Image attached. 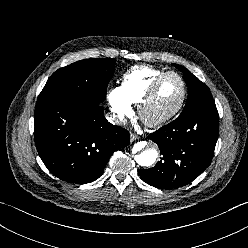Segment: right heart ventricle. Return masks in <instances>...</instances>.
<instances>
[{
	"label": "right heart ventricle",
	"instance_id": "right-heart-ventricle-1",
	"mask_svg": "<svg viewBox=\"0 0 248 248\" xmlns=\"http://www.w3.org/2000/svg\"><path fill=\"white\" fill-rule=\"evenodd\" d=\"M165 72L151 66H135L124 74L121 89L131 104H139L152 82Z\"/></svg>",
	"mask_w": 248,
	"mask_h": 248
}]
</instances>
